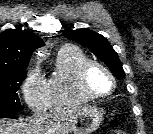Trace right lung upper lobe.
Here are the masks:
<instances>
[{
	"instance_id": "obj_1",
	"label": "right lung upper lobe",
	"mask_w": 153,
	"mask_h": 134,
	"mask_svg": "<svg viewBox=\"0 0 153 134\" xmlns=\"http://www.w3.org/2000/svg\"><path fill=\"white\" fill-rule=\"evenodd\" d=\"M43 45L30 31L8 29L0 33V71L26 70L33 51Z\"/></svg>"
}]
</instances>
